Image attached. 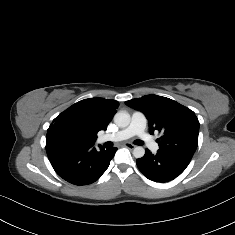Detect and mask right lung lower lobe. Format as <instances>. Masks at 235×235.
Masks as SVG:
<instances>
[{"label":"right lung lower lobe","instance_id":"right-lung-lower-lobe-1","mask_svg":"<svg viewBox=\"0 0 235 235\" xmlns=\"http://www.w3.org/2000/svg\"><path fill=\"white\" fill-rule=\"evenodd\" d=\"M94 144L55 141L46 144L49 161L55 172L74 185H88L97 181L106 171L117 148Z\"/></svg>","mask_w":235,"mask_h":235}]
</instances>
